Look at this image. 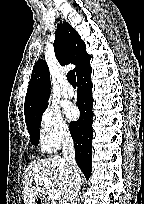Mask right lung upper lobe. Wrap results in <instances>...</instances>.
Here are the masks:
<instances>
[{"label":"right lung upper lobe","mask_w":144,"mask_h":204,"mask_svg":"<svg viewBox=\"0 0 144 204\" xmlns=\"http://www.w3.org/2000/svg\"><path fill=\"white\" fill-rule=\"evenodd\" d=\"M55 35L54 51L61 65L74 64L77 76L90 67L91 56L86 52V45L69 23L60 24ZM49 81L50 73L47 63L44 60H38L33 67L25 98V119L47 105L49 95L46 92V85Z\"/></svg>","instance_id":"right-lung-upper-lobe-1"}]
</instances>
